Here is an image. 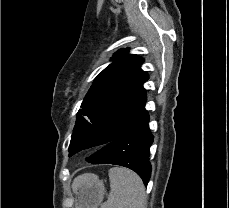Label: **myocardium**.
Segmentation results:
<instances>
[{
  "label": "myocardium",
  "mask_w": 229,
  "mask_h": 208,
  "mask_svg": "<svg viewBox=\"0 0 229 208\" xmlns=\"http://www.w3.org/2000/svg\"><path fill=\"white\" fill-rule=\"evenodd\" d=\"M109 146V141L106 139H100L95 141L93 144L90 145L89 149H88V153L91 155H96L99 154L101 152H103L104 150H106Z\"/></svg>",
  "instance_id": "obj_1"
}]
</instances>
